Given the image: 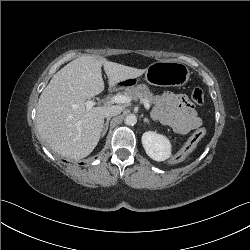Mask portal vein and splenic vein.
Wrapping results in <instances>:
<instances>
[{
    "label": "portal vein and splenic vein",
    "mask_w": 250,
    "mask_h": 250,
    "mask_svg": "<svg viewBox=\"0 0 250 250\" xmlns=\"http://www.w3.org/2000/svg\"><path fill=\"white\" fill-rule=\"evenodd\" d=\"M132 98L128 95H116L114 97H112L108 103L114 104V103H129L131 102ZM142 102L144 104V107L146 108V110L150 109V102L146 99H142ZM86 109L90 110L96 103L94 101H86Z\"/></svg>",
    "instance_id": "portal-vein-and-splenic-vein-1"
}]
</instances>
